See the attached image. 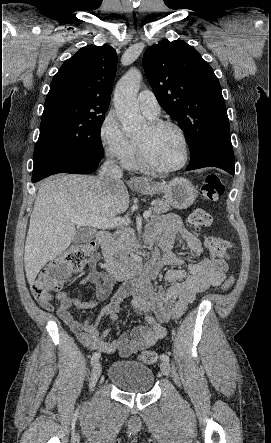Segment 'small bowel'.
Instances as JSON below:
<instances>
[{
  "label": "small bowel",
  "instance_id": "small-bowel-1",
  "mask_svg": "<svg viewBox=\"0 0 271 443\" xmlns=\"http://www.w3.org/2000/svg\"><path fill=\"white\" fill-rule=\"evenodd\" d=\"M156 237L160 238L162 255L153 258L140 276L117 291L93 322L78 321L71 314L70 308L74 306L81 310L92 309L99 301L109 297L113 287L112 278L94 268L81 280V284L94 285L95 300L82 301L78 297H69L66 292H59L58 307L53 304L51 295L39 298V304L46 310H55L75 332L78 341L91 350L107 354L118 352L122 357L145 351L167 336L166 323L184 315L199 293L210 287L219 286L227 271V264L223 259L203 256L204 248L201 241L176 215H168L165 218L152 234V238ZM177 237L181 238L188 253L196 261L189 263L186 270L169 269L165 273L164 283L154 287L152 280L158 275L162 266L182 263L172 251ZM127 296L133 297L132 310L136 315L143 317L144 323L133 328L130 334L123 333L117 339L108 341L106 340L108 330L101 331L100 322L105 318L115 321L120 304Z\"/></svg>",
  "mask_w": 271,
  "mask_h": 443
}]
</instances>
